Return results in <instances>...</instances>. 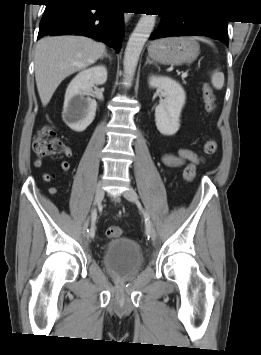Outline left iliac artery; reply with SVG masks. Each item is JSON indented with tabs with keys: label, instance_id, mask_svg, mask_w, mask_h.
I'll return each mask as SVG.
<instances>
[{
	"label": "left iliac artery",
	"instance_id": "1",
	"mask_svg": "<svg viewBox=\"0 0 261 355\" xmlns=\"http://www.w3.org/2000/svg\"><path fill=\"white\" fill-rule=\"evenodd\" d=\"M144 216H145L146 235H147L148 239H152V235H151L152 224L150 221V217L146 212H145Z\"/></svg>",
	"mask_w": 261,
	"mask_h": 355
}]
</instances>
